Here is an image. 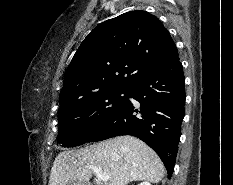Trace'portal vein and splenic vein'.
I'll return each mask as SVG.
<instances>
[{"instance_id":"1","label":"portal vein and splenic vein","mask_w":233,"mask_h":185,"mask_svg":"<svg viewBox=\"0 0 233 185\" xmlns=\"http://www.w3.org/2000/svg\"><path fill=\"white\" fill-rule=\"evenodd\" d=\"M87 168L91 169L98 181L107 182L110 179V176L108 174H105L102 172V169L100 167L89 165Z\"/></svg>"}]
</instances>
